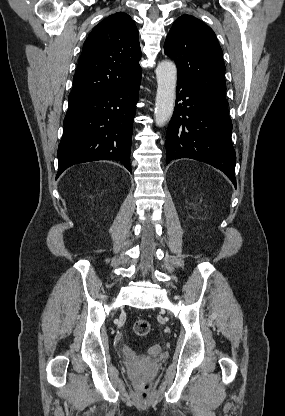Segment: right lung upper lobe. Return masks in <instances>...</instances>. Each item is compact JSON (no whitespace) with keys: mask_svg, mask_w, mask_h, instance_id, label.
Returning a JSON list of instances; mask_svg holds the SVG:
<instances>
[{"mask_svg":"<svg viewBox=\"0 0 285 416\" xmlns=\"http://www.w3.org/2000/svg\"><path fill=\"white\" fill-rule=\"evenodd\" d=\"M139 33L124 12L110 15L93 28L79 58L69 106L89 101L141 76Z\"/></svg>","mask_w":285,"mask_h":416,"instance_id":"obj_1","label":"right lung upper lobe"}]
</instances>
